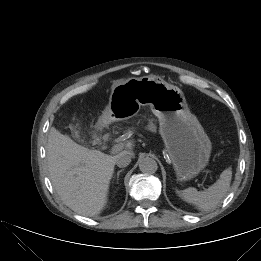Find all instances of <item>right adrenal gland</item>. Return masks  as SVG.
<instances>
[{
  "label": "right adrenal gland",
  "instance_id": "obj_1",
  "mask_svg": "<svg viewBox=\"0 0 261 261\" xmlns=\"http://www.w3.org/2000/svg\"><path fill=\"white\" fill-rule=\"evenodd\" d=\"M123 171V169H121V170H119L118 172H117V180H118V178H119V175H120V173Z\"/></svg>",
  "mask_w": 261,
  "mask_h": 261
}]
</instances>
